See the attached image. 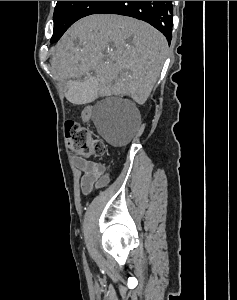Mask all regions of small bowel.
<instances>
[{"mask_svg":"<svg viewBox=\"0 0 237 300\" xmlns=\"http://www.w3.org/2000/svg\"><path fill=\"white\" fill-rule=\"evenodd\" d=\"M91 116L92 108L90 106L85 107L82 111V119L88 121ZM74 164L82 172L81 191L83 194L88 195L95 189L102 188L108 184L110 175L103 165L81 157H75Z\"/></svg>","mask_w":237,"mask_h":300,"instance_id":"obj_1","label":"small bowel"}]
</instances>
